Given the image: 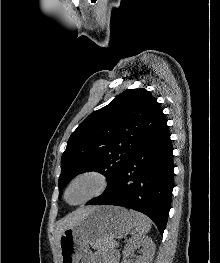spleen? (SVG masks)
<instances>
[{
  "instance_id": "obj_1",
  "label": "spleen",
  "mask_w": 220,
  "mask_h": 263,
  "mask_svg": "<svg viewBox=\"0 0 220 263\" xmlns=\"http://www.w3.org/2000/svg\"><path fill=\"white\" fill-rule=\"evenodd\" d=\"M130 214L133 219L135 231L139 235L146 234L150 231L151 221L145 215L133 210L130 211Z\"/></svg>"
}]
</instances>
